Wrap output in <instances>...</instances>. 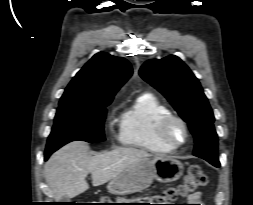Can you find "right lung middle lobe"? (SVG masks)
<instances>
[{
	"label": "right lung middle lobe",
	"instance_id": "1",
	"mask_svg": "<svg viewBox=\"0 0 253 205\" xmlns=\"http://www.w3.org/2000/svg\"><path fill=\"white\" fill-rule=\"evenodd\" d=\"M112 99L95 104H59L46 151H56L74 140L102 142L106 106Z\"/></svg>",
	"mask_w": 253,
	"mask_h": 205
}]
</instances>
